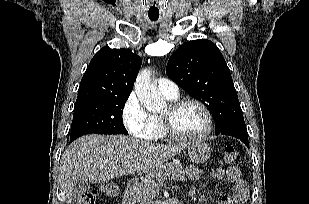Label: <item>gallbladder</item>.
Masks as SVG:
<instances>
[{"instance_id": "bac80fb5", "label": "gallbladder", "mask_w": 309, "mask_h": 204, "mask_svg": "<svg viewBox=\"0 0 309 204\" xmlns=\"http://www.w3.org/2000/svg\"><path fill=\"white\" fill-rule=\"evenodd\" d=\"M88 189V180L85 178H79L75 184L71 195V201L76 202L79 201L83 194Z\"/></svg>"}]
</instances>
